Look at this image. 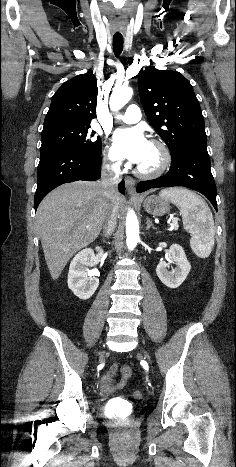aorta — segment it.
<instances>
[{"instance_id": "1", "label": "aorta", "mask_w": 236, "mask_h": 467, "mask_svg": "<svg viewBox=\"0 0 236 467\" xmlns=\"http://www.w3.org/2000/svg\"><path fill=\"white\" fill-rule=\"evenodd\" d=\"M133 89L130 87L115 88L110 96V108L112 111L120 110L132 98ZM139 241V223L135 212L130 209L126 216V244L129 250H133Z\"/></svg>"}]
</instances>
